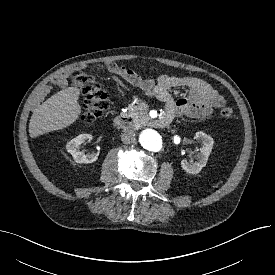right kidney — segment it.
I'll return each mask as SVG.
<instances>
[{
  "label": "right kidney",
  "mask_w": 275,
  "mask_h": 275,
  "mask_svg": "<svg viewBox=\"0 0 275 275\" xmlns=\"http://www.w3.org/2000/svg\"><path fill=\"white\" fill-rule=\"evenodd\" d=\"M91 139L92 135L90 134H80L67 143L66 149L72 155L76 163L88 164L97 160L99 153L85 154V152L81 150V144Z\"/></svg>",
  "instance_id": "1"
}]
</instances>
